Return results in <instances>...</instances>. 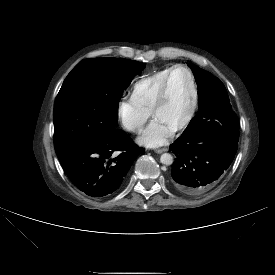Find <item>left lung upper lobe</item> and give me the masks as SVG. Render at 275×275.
I'll list each match as a JSON object with an SVG mask.
<instances>
[{"label": "left lung upper lobe", "mask_w": 275, "mask_h": 275, "mask_svg": "<svg viewBox=\"0 0 275 275\" xmlns=\"http://www.w3.org/2000/svg\"><path fill=\"white\" fill-rule=\"evenodd\" d=\"M198 86L199 112L181 136H199L209 132H226L239 138V123L229 103L225 86L217 77L190 63Z\"/></svg>", "instance_id": "obj_1"}]
</instances>
